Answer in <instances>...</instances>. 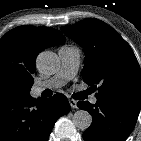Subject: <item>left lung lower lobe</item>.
<instances>
[{
	"mask_svg": "<svg viewBox=\"0 0 141 141\" xmlns=\"http://www.w3.org/2000/svg\"><path fill=\"white\" fill-rule=\"evenodd\" d=\"M88 111L93 121L83 133L85 141H125L132 132L141 108L137 103H119L97 99L96 104L87 101L77 103Z\"/></svg>",
	"mask_w": 141,
	"mask_h": 141,
	"instance_id": "left-lung-lower-lobe-1",
	"label": "left lung lower lobe"
}]
</instances>
